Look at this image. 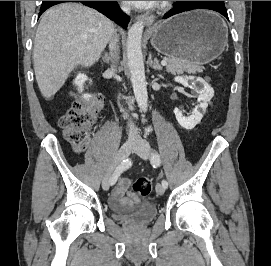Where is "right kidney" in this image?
Returning <instances> with one entry per match:
<instances>
[{"label": "right kidney", "instance_id": "right-kidney-1", "mask_svg": "<svg viewBox=\"0 0 271 266\" xmlns=\"http://www.w3.org/2000/svg\"><path fill=\"white\" fill-rule=\"evenodd\" d=\"M87 80H89V79H88V77H87L85 74L79 73V74L76 76L75 80H74V84H75V86L78 88V90L83 91V84H84ZM89 81L91 82V80H89ZM83 98H84L85 100H89V98H91V95H89V94H84V95H83Z\"/></svg>", "mask_w": 271, "mask_h": 266}]
</instances>
